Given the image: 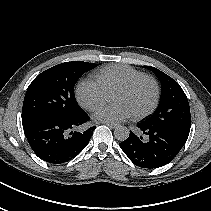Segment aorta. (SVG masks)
Segmentation results:
<instances>
[{
	"label": "aorta",
	"instance_id": "obj_1",
	"mask_svg": "<svg viewBox=\"0 0 211 211\" xmlns=\"http://www.w3.org/2000/svg\"><path fill=\"white\" fill-rule=\"evenodd\" d=\"M114 136L119 141H124L129 137V129L125 126H118L114 130Z\"/></svg>",
	"mask_w": 211,
	"mask_h": 211
}]
</instances>
